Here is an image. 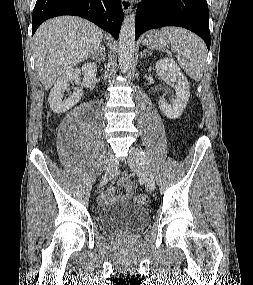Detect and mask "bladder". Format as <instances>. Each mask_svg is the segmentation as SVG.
<instances>
[{"label":"bladder","mask_w":253,"mask_h":285,"mask_svg":"<svg viewBox=\"0 0 253 285\" xmlns=\"http://www.w3.org/2000/svg\"><path fill=\"white\" fill-rule=\"evenodd\" d=\"M99 221L108 233H131L141 230L148 224L149 214L145 208L127 203L102 209L99 212Z\"/></svg>","instance_id":"1"}]
</instances>
